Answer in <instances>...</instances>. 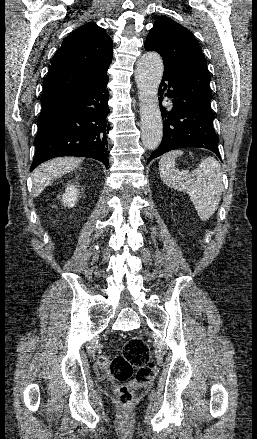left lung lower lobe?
<instances>
[{"label": "left lung lower lobe", "mask_w": 257, "mask_h": 439, "mask_svg": "<svg viewBox=\"0 0 257 439\" xmlns=\"http://www.w3.org/2000/svg\"><path fill=\"white\" fill-rule=\"evenodd\" d=\"M172 98L173 108L167 112L160 104L163 117V139L160 147L149 157L152 159L178 148H205L220 159L218 137L213 128L211 99L205 97L179 77L164 72L159 94ZM163 95L159 98L162 102Z\"/></svg>", "instance_id": "left-lung-lower-lobe-1"}]
</instances>
